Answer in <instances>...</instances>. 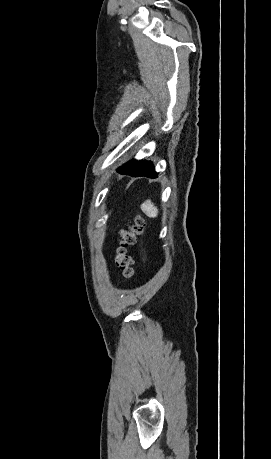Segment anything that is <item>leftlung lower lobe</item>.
<instances>
[{
	"label": "left lung lower lobe",
	"mask_w": 271,
	"mask_h": 459,
	"mask_svg": "<svg viewBox=\"0 0 271 459\" xmlns=\"http://www.w3.org/2000/svg\"><path fill=\"white\" fill-rule=\"evenodd\" d=\"M117 171L121 174L130 175L132 177L146 176L156 178L157 173L154 170L153 164L145 161L131 160L119 167Z\"/></svg>",
	"instance_id": "1"
}]
</instances>
